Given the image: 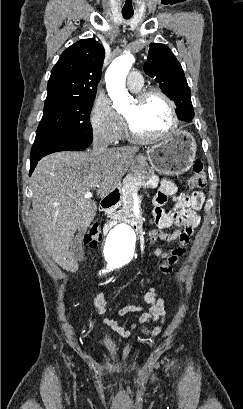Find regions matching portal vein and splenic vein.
<instances>
[{
  "label": "portal vein and splenic vein",
  "instance_id": "18ae733b",
  "mask_svg": "<svg viewBox=\"0 0 243 409\" xmlns=\"http://www.w3.org/2000/svg\"><path fill=\"white\" fill-rule=\"evenodd\" d=\"M85 198H86V199H91V198H92V193H91V192H87V193L85 194Z\"/></svg>",
  "mask_w": 243,
  "mask_h": 409
}]
</instances>
